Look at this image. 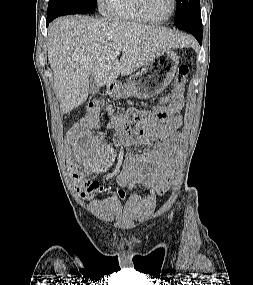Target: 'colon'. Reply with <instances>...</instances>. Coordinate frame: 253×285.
<instances>
[{
    "label": "colon",
    "mask_w": 253,
    "mask_h": 285,
    "mask_svg": "<svg viewBox=\"0 0 253 285\" xmlns=\"http://www.w3.org/2000/svg\"><path fill=\"white\" fill-rule=\"evenodd\" d=\"M190 69L188 65L182 64L178 67L174 87L173 95L179 94L185 85L186 79L188 78ZM110 121L107 124L108 128L128 127L133 123H136L138 117L132 114L124 113L118 114L115 112H108ZM101 122L100 104L93 102L90 104L86 116L80 121V126H71V129H67L66 133V144L69 145V150H66L65 157L68 167H64V172H70L73 180H77V190L81 196L86 197L90 195L103 194L108 189L97 182L88 181V175L90 167H84L83 163L87 162L84 154L81 151L84 150L83 145H92L93 141H98V136H89L88 140L85 134H89V129L97 128ZM85 128V130H83ZM79 155L80 158H76ZM121 197L124 196L122 191H119Z\"/></svg>",
    "instance_id": "obj_1"
}]
</instances>
